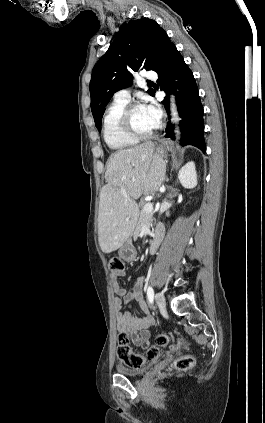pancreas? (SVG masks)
Returning a JSON list of instances; mask_svg holds the SVG:
<instances>
[{"mask_svg": "<svg viewBox=\"0 0 265 423\" xmlns=\"http://www.w3.org/2000/svg\"><path fill=\"white\" fill-rule=\"evenodd\" d=\"M145 204H146L145 202H142L140 204V206L142 207V210L140 212L139 219H138L136 228L134 230V236H136V237H138L140 235V233L142 231V226L143 225H147V226H150L151 225L152 213H146L143 210V207H144Z\"/></svg>", "mask_w": 265, "mask_h": 423, "instance_id": "obj_1", "label": "pancreas"}]
</instances>
